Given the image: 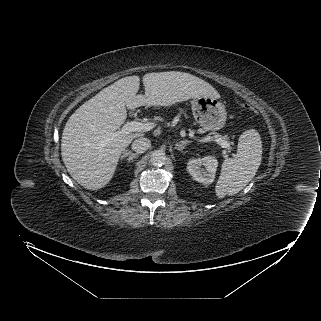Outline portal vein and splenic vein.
I'll return each mask as SVG.
<instances>
[{
  "mask_svg": "<svg viewBox=\"0 0 321 321\" xmlns=\"http://www.w3.org/2000/svg\"><path fill=\"white\" fill-rule=\"evenodd\" d=\"M154 128V123H140L136 121L128 122L126 123L121 131L116 132L113 136H116L118 134H129L131 132H147ZM213 139L216 143H218L220 146H222L225 149L230 150L231 145L228 141L222 139L218 136H213Z\"/></svg>",
  "mask_w": 321,
  "mask_h": 321,
  "instance_id": "obj_1",
  "label": "portal vein and splenic vein"
}]
</instances>
